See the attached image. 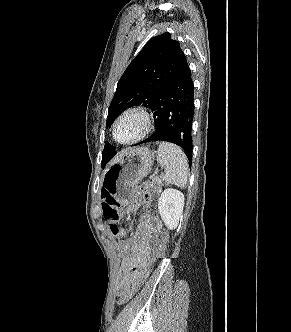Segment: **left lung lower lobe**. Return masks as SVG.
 Segmentation results:
<instances>
[{"label": "left lung lower lobe", "instance_id": "obj_1", "mask_svg": "<svg viewBox=\"0 0 291 332\" xmlns=\"http://www.w3.org/2000/svg\"><path fill=\"white\" fill-rule=\"evenodd\" d=\"M151 110L154 111L156 131L148 139L136 145L156 140L174 143L184 149L191 164L194 85L185 55L157 96Z\"/></svg>", "mask_w": 291, "mask_h": 332}]
</instances>
